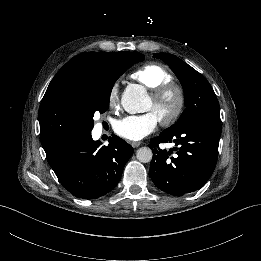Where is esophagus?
<instances>
[{
  "label": "esophagus",
  "mask_w": 261,
  "mask_h": 261,
  "mask_svg": "<svg viewBox=\"0 0 261 261\" xmlns=\"http://www.w3.org/2000/svg\"><path fill=\"white\" fill-rule=\"evenodd\" d=\"M131 145H132L133 148H137L138 146L141 145V142H140V141H133V142L131 143Z\"/></svg>",
  "instance_id": "34e87169"
}]
</instances>
